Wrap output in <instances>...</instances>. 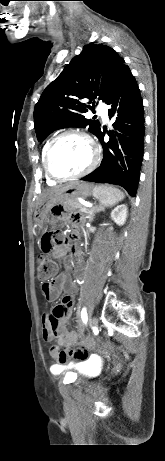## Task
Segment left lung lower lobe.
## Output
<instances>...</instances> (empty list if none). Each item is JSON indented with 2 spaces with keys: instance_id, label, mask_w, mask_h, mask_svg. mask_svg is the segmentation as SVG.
Wrapping results in <instances>:
<instances>
[{
  "instance_id": "0a47b994",
  "label": "left lung lower lobe",
  "mask_w": 165,
  "mask_h": 461,
  "mask_svg": "<svg viewBox=\"0 0 165 461\" xmlns=\"http://www.w3.org/2000/svg\"><path fill=\"white\" fill-rule=\"evenodd\" d=\"M111 106L109 118L116 117L113 127L119 132L98 134L103 147L101 165L81 180L120 185L136 195L144 150V110L137 81L128 68L113 94L106 101Z\"/></svg>"
}]
</instances>
